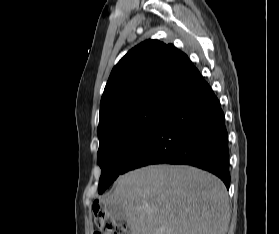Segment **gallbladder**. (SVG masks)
<instances>
[{
    "instance_id": "gallbladder-1",
    "label": "gallbladder",
    "mask_w": 279,
    "mask_h": 234,
    "mask_svg": "<svg viewBox=\"0 0 279 234\" xmlns=\"http://www.w3.org/2000/svg\"><path fill=\"white\" fill-rule=\"evenodd\" d=\"M106 207V212L108 215L118 221H125L126 220V214L121 205H107Z\"/></svg>"
}]
</instances>
